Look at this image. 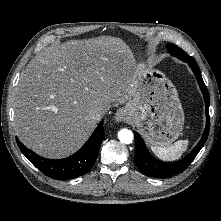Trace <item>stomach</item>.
I'll return each mask as SVG.
<instances>
[{"mask_svg": "<svg viewBox=\"0 0 221 221\" xmlns=\"http://www.w3.org/2000/svg\"><path fill=\"white\" fill-rule=\"evenodd\" d=\"M131 87L132 94L123 108L128 121L149 145H171L181 134L185 119L172 82L161 71L140 64L134 67Z\"/></svg>", "mask_w": 221, "mask_h": 221, "instance_id": "1", "label": "stomach"}]
</instances>
